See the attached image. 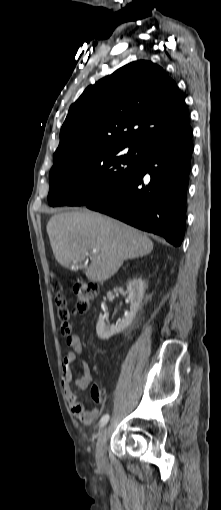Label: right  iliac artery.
<instances>
[{
  "instance_id": "obj_1",
  "label": "right iliac artery",
  "mask_w": 221,
  "mask_h": 510,
  "mask_svg": "<svg viewBox=\"0 0 221 510\" xmlns=\"http://www.w3.org/2000/svg\"><path fill=\"white\" fill-rule=\"evenodd\" d=\"M108 420H109V415L108 414L103 415L99 422L100 427L105 426L106 423L108 422Z\"/></svg>"
}]
</instances>
